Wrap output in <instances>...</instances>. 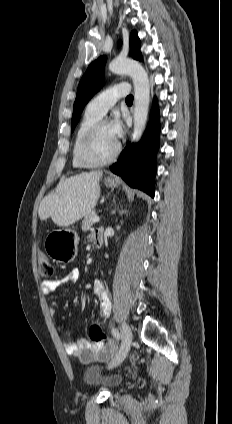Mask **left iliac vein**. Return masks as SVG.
Instances as JSON below:
<instances>
[{"mask_svg":"<svg viewBox=\"0 0 232 424\" xmlns=\"http://www.w3.org/2000/svg\"><path fill=\"white\" fill-rule=\"evenodd\" d=\"M121 338L122 344L120 350L113 361L110 363L109 368L118 366L126 358L132 343V332L127 323H123L121 326Z\"/></svg>","mask_w":232,"mask_h":424,"instance_id":"left-iliac-vein-1","label":"left iliac vein"}]
</instances>
